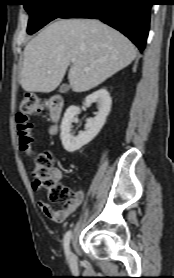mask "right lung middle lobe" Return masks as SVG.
I'll use <instances>...</instances> for the list:
<instances>
[{"label":"right lung middle lobe","mask_w":174,"mask_h":278,"mask_svg":"<svg viewBox=\"0 0 174 278\" xmlns=\"http://www.w3.org/2000/svg\"><path fill=\"white\" fill-rule=\"evenodd\" d=\"M78 0H24V8L29 13L27 33L32 34L50 21L62 15Z\"/></svg>","instance_id":"dd1d6c3e"}]
</instances>
